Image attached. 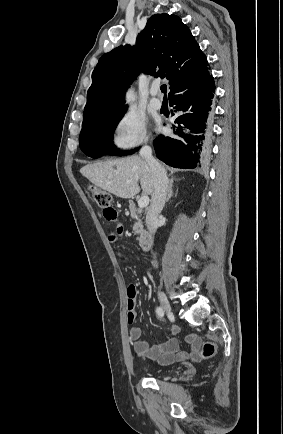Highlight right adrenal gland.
Listing matches in <instances>:
<instances>
[{"label": "right adrenal gland", "mask_w": 283, "mask_h": 434, "mask_svg": "<svg viewBox=\"0 0 283 434\" xmlns=\"http://www.w3.org/2000/svg\"><path fill=\"white\" fill-rule=\"evenodd\" d=\"M173 181H174V178H171L170 179V183H169V189H168V195H167V198H166V202H168L170 200V198L173 196V190H172Z\"/></svg>", "instance_id": "obj_1"}]
</instances>
